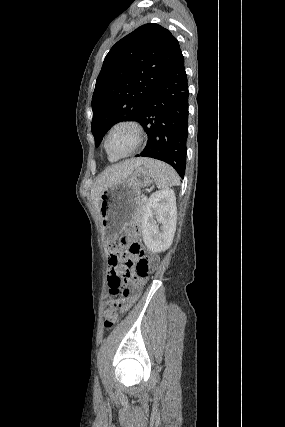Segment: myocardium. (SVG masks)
<instances>
[{
  "label": "myocardium",
  "instance_id": "f54148a6",
  "mask_svg": "<svg viewBox=\"0 0 285 427\" xmlns=\"http://www.w3.org/2000/svg\"><path fill=\"white\" fill-rule=\"evenodd\" d=\"M122 126L129 127L133 130V132L135 134V143H134L133 147L128 152L123 153V154H114L109 150L108 139H109V136L113 130H115L116 128L122 127ZM143 139H144V132H143V128H142L141 124L138 123L137 121H134V120L125 119V120H121V121L114 123L108 129V131L105 135V138H104V147L110 156L115 157V158H124V157H128V156L132 155L139 148V146L142 144Z\"/></svg>",
  "mask_w": 285,
  "mask_h": 427
}]
</instances>
